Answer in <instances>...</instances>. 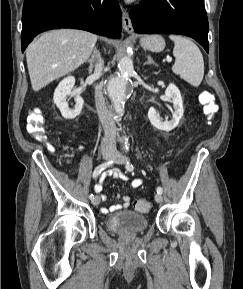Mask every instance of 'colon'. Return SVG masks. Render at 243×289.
<instances>
[{
    "label": "colon",
    "instance_id": "5ec220e1",
    "mask_svg": "<svg viewBox=\"0 0 243 289\" xmlns=\"http://www.w3.org/2000/svg\"><path fill=\"white\" fill-rule=\"evenodd\" d=\"M199 101L208 120H212L218 110L214 95L211 92L203 91L199 95ZM27 121L28 133L34 138L44 141L46 138L44 117L40 109L36 108L30 111ZM134 208L138 212L145 213L150 210L151 204L147 200L139 199L134 202Z\"/></svg>",
    "mask_w": 243,
    "mask_h": 289
}]
</instances>
